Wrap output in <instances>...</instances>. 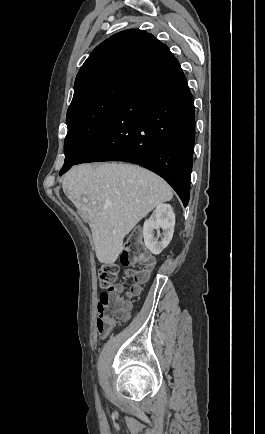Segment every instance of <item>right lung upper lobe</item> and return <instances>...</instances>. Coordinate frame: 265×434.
Listing matches in <instances>:
<instances>
[{
    "label": "right lung upper lobe",
    "mask_w": 265,
    "mask_h": 434,
    "mask_svg": "<svg viewBox=\"0 0 265 434\" xmlns=\"http://www.w3.org/2000/svg\"><path fill=\"white\" fill-rule=\"evenodd\" d=\"M168 47L152 34L129 29L99 44L80 68L75 87L116 74L136 75L155 62Z\"/></svg>",
    "instance_id": "obj_1"
}]
</instances>
